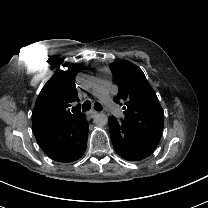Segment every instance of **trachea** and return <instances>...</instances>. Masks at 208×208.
<instances>
[{
  "label": "trachea",
  "instance_id": "1",
  "mask_svg": "<svg viewBox=\"0 0 208 208\" xmlns=\"http://www.w3.org/2000/svg\"><path fill=\"white\" fill-rule=\"evenodd\" d=\"M91 109V102L89 100H86L82 105V110L84 112ZM94 109L97 111H102V105L98 102L94 103Z\"/></svg>",
  "mask_w": 208,
  "mask_h": 208
}]
</instances>
